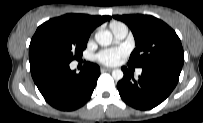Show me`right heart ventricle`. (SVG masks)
I'll list each match as a JSON object with an SVG mask.
<instances>
[{
  "label": "right heart ventricle",
  "mask_w": 203,
  "mask_h": 123,
  "mask_svg": "<svg viewBox=\"0 0 203 123\" xmlns=\"http://www.w3.org/2000/svg\"><path fill=\"white\" fill-rule=\"evenodd\" d=\"M115 23H117V22H113L112 24H115ZM112 24H111V25H112Z\"/></svg>",
  "instance_id": "e07e8e85"
}]
</instances>
